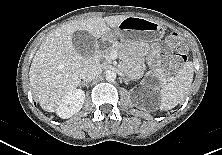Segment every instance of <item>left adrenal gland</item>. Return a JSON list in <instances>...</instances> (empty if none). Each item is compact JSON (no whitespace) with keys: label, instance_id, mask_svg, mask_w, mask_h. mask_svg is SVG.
<instances>
[{"label":"left adrenal gland","instance_id":"left-adrenal-gland-1","mask_svg":"<svg viewBox=\"0 0 222 155\" xmlns=\"http://www.w3.org/2000/svg\"><path fill=\"white\" fill-rule=\"evenodd\" d=\"M125 80H126V81H129V79H128V78H126Z\"/></svg>","mask_w":222,"mask_h":155}]
</instances>
